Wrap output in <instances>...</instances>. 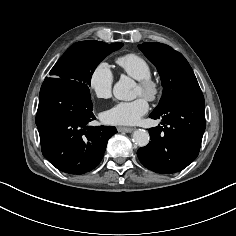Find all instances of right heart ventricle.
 I'll list each match as a JSON object with an SVG mask.
<instances>
[{
    "label": "right heart ventricle",
    "mask_w": 236,
    "mask_h": 236,
    "mask_svg": "<svg viewBox=\"0 0 236 236\" xmlns=\"http://www.w3.org/2000/svg\"><path fill=\"white\" fill-rule=\"evenodd\" d=\"M119 67L134 79L151 76V66L146 59L136 53H127L116 60Z\"/></svg>",
    "instance_id": "obj_1"
}]
</instances>
